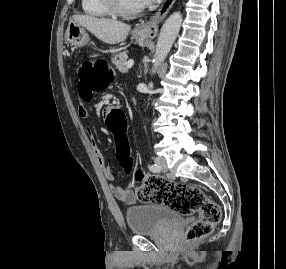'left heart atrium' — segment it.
I'll use <instances>...</instances> for the list:
<instances>
[{"mask_svg":"<svg viewBox=\"0 0 286 269\" xmlns=\"http://www.w3.org/2000/svg\"><path fill=\"white\" fill-rule=\"evenodd\" d=\"M141 1V4H142V6H144V5H152L153 3H156V2H158V1H160V0H140Z\"/></svg>","mask_w":286,"mask_h":269,"instance_id":"left-heart-atrium-1","label":"left heart atrium"}]
</instances>
